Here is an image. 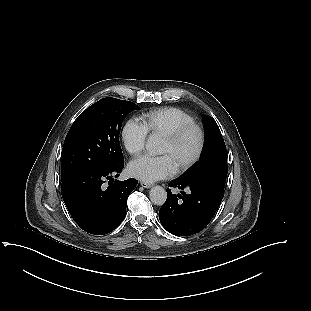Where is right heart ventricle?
Returning a JSON list of instances; mask_svg holds the SVG:
<instances>
[{
    "mask_svg": "<svg viewBox=\"0 0 311 311\" xmlns=\"http://www.w3.org/2000/svg\"><path fill=\"white\" fill-rule=\"evenodd\" d=\"M142 121L150 136H163L181 125L194 122V118L181 108L164 107L144 114Z\"/></svg>",
    "mask_w": 311,
    "mask_h": 311,
    "instance_id": "1",
    "label": "right heart ventricle"
}]
</instances>
